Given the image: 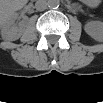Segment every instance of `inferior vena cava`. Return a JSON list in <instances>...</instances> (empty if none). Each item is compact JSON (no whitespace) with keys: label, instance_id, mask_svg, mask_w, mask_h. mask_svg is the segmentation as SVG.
Segmentation results:
<instances>
[{"label":"inferior vena cava","instance_id":"602c4592","mask_svg":"<svg viewBox=\"0 0 103 103\" xmlns=\"http://www.w3.org/2000/svg\"><path fill=\"white\" fill-rule=\"evenodd\" d=\"M48 3L46 0H37V2L35 3V8L38 11H44L45 9H47Z\"/></svg>","mask_w":103,"mask_h":103}]
</instances>
